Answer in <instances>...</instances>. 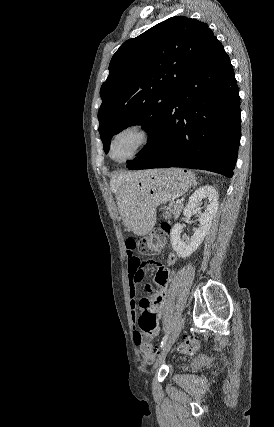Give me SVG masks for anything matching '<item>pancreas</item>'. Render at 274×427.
Returning a JSON list of instances; mask_svg holds the SVG:
<instances>
[{"mask_svg":"<svg viewBox=\"0 0 274 427\" xmlns=\"http://www.w3.org/2000/svg\"><path fill=\"white\" fill-rule=\"evenodd\" d=\"M183 204H175V202H170L169 206H165V210H169L171 214H174V217H178L182 210Z\"/></svg>","mask_w":274,"mask_h":427,"instance_id":"1","label":"pancreas"}]
</instances>
